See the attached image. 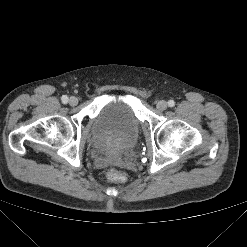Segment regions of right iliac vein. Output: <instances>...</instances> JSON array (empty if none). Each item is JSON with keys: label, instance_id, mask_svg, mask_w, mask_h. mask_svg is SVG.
Masks as SVG:
<instances>
[{"label": "right iliac vein", "instance_id": "obj_1", "mask_svg": "<svg viewBox=\"0 0 247 247\" xmlns=\"http://www.w3.org/2000/svg\"><path fill=\"white\" fill-rule=\"evenodd\" d=\"M68 101L71 106H75L78 104V99L74 96L70 97Z\"/></svg>", "mask_w": 247, "mask_h": 247}]
</instances>
